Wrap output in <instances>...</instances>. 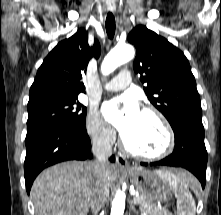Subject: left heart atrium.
<instances>
[{
  "instance_id": "left-heart-atrium-1",
  "label": "left heart atrium",
  "mask_w": 221,
  "mask_h": 215,
  "mask_svg": "<svg viewBox=\"0 0 221 215\" xmlns=\"http://www.w3.org/2000/svg\"><path fill=\"white\" fill-rule=\"evenodd\" d=\"M103 113L107 121L124 137L133 129L141 112L136 98L124 95L106 102L103 105Z\"/></svg>"
}]
</instances>
